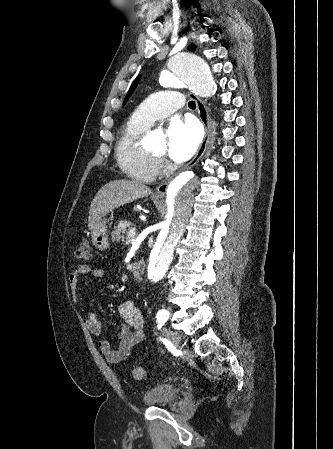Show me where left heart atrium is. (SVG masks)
Listing matches in <instances>:
<instances>
[{"label": "left heart atrium", "mask_w": 333, "mask_h": 449, "mask_svg": "<svg viewBox=\"0 0 333 449\" xmlns=\"http://www.w3.org/2000/svg\"><path fill=\"white\" fill-rule=\"evenodd\" d=\"M201 140L198 125L192 120L174 119L167 129V151L176 162H184L196 151Z\"/></svg>", "instance_id": "1"}]
</instances>
